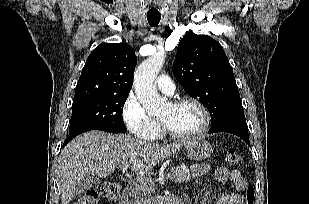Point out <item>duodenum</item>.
Returning <instances> with one entry per match:
<instances>
[{"label":"duodenum","instance_id":"410a0bca","mask_svg":"<svg viewBox=\"0 0 309 204\" xmlns=\"http://www.w3.org/2000/svg\"><path fill=\"white\" fill-rule=\"evenodd\" d=\"M134 196V187L129 184L125 187L120 204H131Z\"/></svg>","mask_w":309,"mask_h":204}]
</instances>
